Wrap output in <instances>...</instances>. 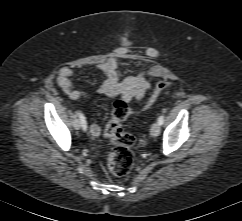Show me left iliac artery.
<instances>
[{"instance_id": "1", "label": "left iliac artery", "mask_w": 242, "mask_h": 221, "mask_svg": "<svg viewBox=\"0 0 242 221\" xmlns=\"http://www.w3.org/2000/svg\"><path fill=\"white\" fill-rule=\"evenodd\" d=\"M158 123L159 125H162L164 123V116L161 115L159 118H158Z\"/></svg>"}]
</instances>
